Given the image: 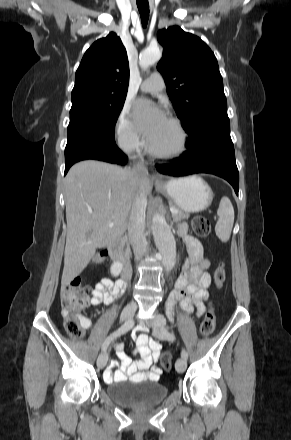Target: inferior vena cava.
Instances as JSON below:
<instances>
[{
    "label": "inferior vena cava",
    "mask_w": 291,
    "mask_h": 440,
    "mask_svg": "<svg viewBox=\"0 0 291 440\" xmlns=\"http://www.w3.org/2000/svg\"><path fill=\"white\" fill-rule=\"evenodd\" d=\"M133 170L138 175L148 174V170L142 162L134 164ZM146 205V198L141 192L137 195L129 216L128 237L133 247L136 260H139L145 254L147 247V241L144 235Z\"/></svg>",
    "instance_id": "inferior-vena-cava-1"
}]
</instances>
